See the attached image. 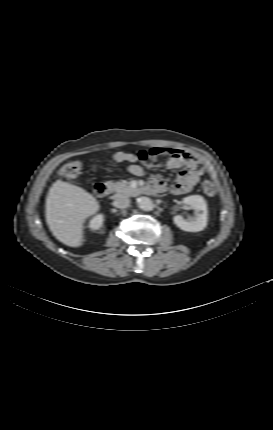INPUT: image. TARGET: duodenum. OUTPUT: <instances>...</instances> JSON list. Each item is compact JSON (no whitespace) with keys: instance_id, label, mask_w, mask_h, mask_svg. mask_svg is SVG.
I'll use <instances>...</instances> for the list:
<instances>
[{"instance_id":"410a0bca","label":"duodenum","mask_w":273,"mask_h":430,"mask_svg":"<svg viewBox=\"0 0 273 430\" xmlns=\"http://www.w3.org/2000/svg\"><path fill=\"white\" fill-rule=\"evenodd\" d=\"M94 191L98 197L103 198L110 193V186L105 182H99L95 185Z\"/></svg>"}]
</instances>
